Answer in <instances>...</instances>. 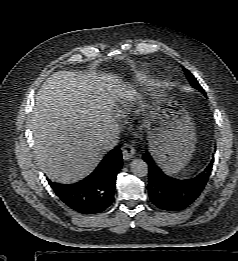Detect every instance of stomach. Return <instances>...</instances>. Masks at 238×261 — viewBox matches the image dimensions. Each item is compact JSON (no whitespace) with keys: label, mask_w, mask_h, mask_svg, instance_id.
<instances>
[{"label":"stomach","mask_w":238,"mask_h":261,"mask_svg":"<svg viewBox=\"0 0 238 261\" xmlns=\"http://www.w3.org/2000/svg\"><path fill=\"white\" fill-rule=\"evenodd\" d=\"M150 113L146 125L149 149L167 173H176L190 160L196 144V132L189 113L172 98L149 94L144 102Z\"/></svg>","instance_id":"0dacf381"}]
</instances>
